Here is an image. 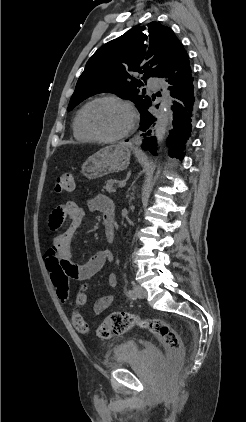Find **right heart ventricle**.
Segmentation results:
<instances>
[{
  "instance_id": "1",
  "label": "right heart ventricle",
  "mask_w": 246,
  "mask_h": 422,
  "mask_svg": "<svg viewBox=\"0 0 246 422\" xmlns=\"http://www.w3.org/2000/svg\"><path fill=\"white\" fill-rule=\"evenodd\" d=\"M85 106L81 107L75 115L73 122L74 137L81 142H92L93 139L86 133L82 125V113Z\"/></svg>"
}]
</instances>
